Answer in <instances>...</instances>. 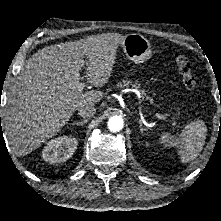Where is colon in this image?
<instances>
[{
	"label": "colon",
	"instance_id": "1",
	"mask_svg": "<svg viewBox=\"0 0 221 221\" xmlns=\"http://www.w3.org/2000/svg\"><path fill=\"white\" fill-rule=\"evenodd\" d=\"M174 63L179 74L182 76L185 86L190 91H194L197 88V79L192 73L188 58L183 54H176L174 56Z\"/></svg>",
	"mask_w": 221,
	"mask_h": 221
}]
</instances>
